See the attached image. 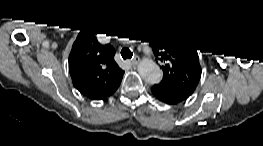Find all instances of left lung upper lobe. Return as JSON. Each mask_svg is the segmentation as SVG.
Listing matches in <instances>:
<instances>
[{
	"mask_svg": "<svg viewBox=\"0 0 263 146\" xmlns=\"http://www.w3.org/2000/svg\"><path fill=\"white\" fill-rule=\"evenodd\" d=\"M148 42L156 58L163 63L161 83L168 85L178 96L187 99L195 90L201 67L198 53L188 40L170 30L151 31Z\"/></svg>",
	"mask_w": 263,
	"mask_h": 146,
	"instance_id": "left-lung-upper-lobe-1",
	"label": "left lung upper lobe"
}]
</instances>
